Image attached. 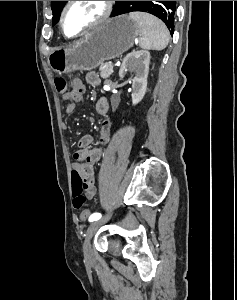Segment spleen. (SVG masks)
Segmentation results:
<instances>
[{
  "label": "spleen",
  "instance_id": "spleen-1",
  "mask_svg": "<svg viewBox=\"0 0 237 300\" xmlns=\"http://www.w3.org/2000/svg\"><path fill=\"white\" fill-rule=\"evenodd\" d=\"M130 19L137 23L141 35L140 49L162 51L169 43V31L157 17L149 13H129Z\"/></svg>",
  "mask_w": 237,
  "mask_h": 300
}]
</instances>
